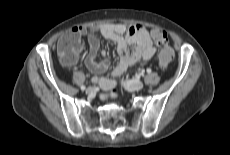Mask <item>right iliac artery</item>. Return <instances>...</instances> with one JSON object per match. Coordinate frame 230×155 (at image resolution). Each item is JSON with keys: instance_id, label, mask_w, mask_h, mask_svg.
Masks as SVG:
<instances>
[{"instance_id": "82829eb1", "label": "right iliac artery", "mask_w": 230, "mask_h": 155, "mask_svg": "<svg viewBox=\"0 0 230 155\" xmlns=\"http://www.w3.org/2000/svg\"><path fill=\"white\" fill-rule=\"evenodd\" d=\"M81 90H85V86L84 85L81 86Z\"/></svg>"}]
</instances>
